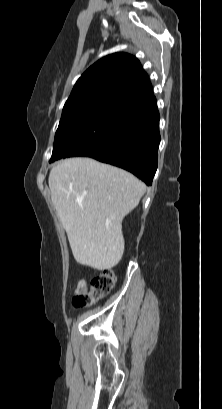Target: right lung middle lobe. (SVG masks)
Listing matches in <instances>:
<instances>
[{
  "label": "right lung middle lobe",
  "instance_id": "obj_1",
  "mask_svg": "<svg viewBox=\"0 0 222 409\" xmlns=\"http://www.w3.org/2000/svg\"><path fill=\"white\" fill-rule=\"evenodd\" d=\"M123 109L120 104H97L63 110L50 163L93 152Z\"/></svg>",
  "mask_w": 222,
  "mask_h": 409
}]
</instances>
